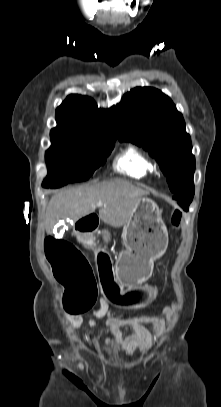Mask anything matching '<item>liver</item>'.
Segmentation results:
<instances>
[{
  "mask_svg": "<svg viewBox=\"0 0 221 407\" xmlns=\"http://www.w3.org/2000/svg\"><path fill=\"white\" fill-rule=\"evenodd\" d=\"M144 195H148V192L120 180L57 192L47 207L46 230L50 233L55 222L60 219L78 221L93 213L99 207L98 202L103 203L99 207V218L113 227H121L128 222Z\"/></svg>",
  "mask_w": 221,
  "mask_h": 407,
  "instance_id": "1",
  "label": "liver"
}]
</instances>
